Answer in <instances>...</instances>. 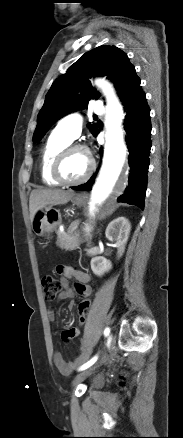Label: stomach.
Listing matches in <instances>:
<instances>
[{
  "instance_id": "1",
  "label": "stomach",
  "mask_w": 183,
  "mask_h": 438,
  "mask_svg": "<svg viewBox=\"0 0 183 438\" xmlns=\"http://www.w3.org/2000/svg\"><path fill=\"white\" fill-rule=\"evenodd\" d=\"M72 202L76 205H82L85 202L83 195H74ZM62 222L61 213L58 209L52 206H45L37 211L34 219L32 220V229L34 233L39 237L50 239L51 234L56 230Z\"/></svg>"
}]
</instances>
